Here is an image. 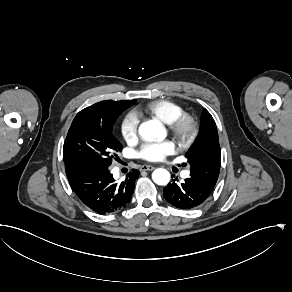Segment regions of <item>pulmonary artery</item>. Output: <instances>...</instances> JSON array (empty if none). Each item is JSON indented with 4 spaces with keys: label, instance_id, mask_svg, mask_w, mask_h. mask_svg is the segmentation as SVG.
<instances>
[{
    "label": "pulmonary artery",
    "instance_id": "obj_1",
    "mask_svg": "<svg viewBox=\"0 0 292 292\" xmlns=\"http://www.w3.org/2000/svg\"><path fill=\"white\" fill-rule=\"evenodd\" d=\"M189 175H190V171H189V170L185 171L184 174H183V176H184L185 178H186V177H189Z\"/></svg>",
    "mask_w": 292,
    "mask_h": 292
}]
</instances>
